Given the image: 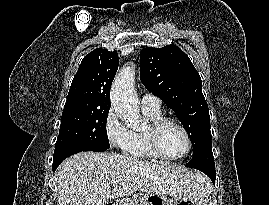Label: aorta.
<instances>
[{
	"mask_svg": "<svg viewBox=\"0 0 269 205\" xmlns=\"http://www.w3.org/2000/svg\"><path fill=\"white\" fill-rule=\"evenodd\" d=\"M135 71L133 65L124 67L115 77L111 88V105L117 116L129 126H139L140 110L134 92Z\"/></svg>",
	"mask_w": 269,
	"mask_h": 205,
	"instance_id": "762f6f07",
	"label": "aorta"
}]
</instances>
